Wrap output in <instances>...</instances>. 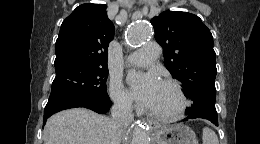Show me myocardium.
<instances>
[{"instance_id":"obj_1","label":"myocardium","mask_w":260,"mask_h":144,"mask_svg":"<svg viewBox=\"0 0 260 144\" xmlns=\"http://www.w3.org/2000/svg\"><path fill=\"white\" fill-rule=\"evenodd\" d=\"M161 83L166 84L167 86L171 87L173 91L175 92L178 101L179 106L176 110L173 112L163 113V112H157L152 109H149V114L157 119L163 120V121H175L180 118H182L188 108V100L185 95V92L180 85L179 82L173 79H164L161 81Z\"/></svg>"}]
</instances>
